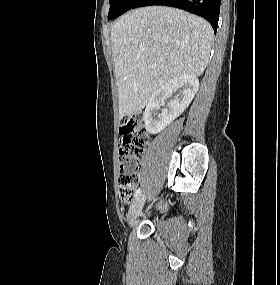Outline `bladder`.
I'll list each match as a JSON object with an SVG mask.
<instances>
[{
  "instance_id": "obj_1",
  "label": "bladder",
  "mask_w": 280,
  "mask_h": 285,
  "mask_svg": "<svg viewBox=\"0 0 280 285\" xmlns=\"http://www.w3.org/2000/svg\"><path fill=\"white\" fill-rule=\"evenodd\" d=\"M156 217H161V215H159V214H156Z\"/></svg>"
}]
</instances>
